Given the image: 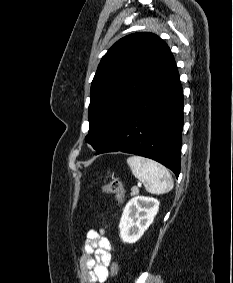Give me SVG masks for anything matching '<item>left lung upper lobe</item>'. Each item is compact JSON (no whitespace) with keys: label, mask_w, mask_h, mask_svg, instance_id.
I'll return each instance as SVG.
<instances>
[{"label":"left lung upper lobe","mask_w":233,"mask_h":283,"mask_svg":"<svg viewBox=\"0 0 233 283\" xmlns=\"http://www.w3.org/2000/svg\"><path fill=\"white\" fill-rule=\"evenodd\" d=\"M170 54L161 38L143 32L120 39L102 57L91 84L90 126L85 138L95 150L111 138Z\"/></svg>","instance_id":"obj_1"}]
</instances>
